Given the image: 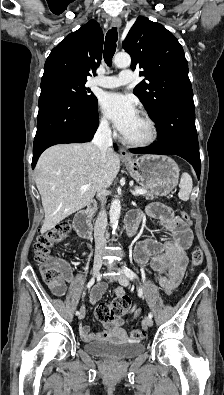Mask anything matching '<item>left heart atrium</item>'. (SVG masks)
I'll list each match as a JSON object with an SVG mask.
<instances>
[{"label": "left heart atrium", "mask_w": 224, "mask_h": 395, "mask_svg": "<svg viewBox=\"0 0 224 395\" xmlns=\"http://www.w3.org/2000/svg\"><path fill=\"white\" fill-rule=\"evenodd\" d=\"M103 113L114 126L123 134L138 116L135 101L121 93H106L100 100Z\"/></svg>", "instance_id": "39dd6f15"}]
</instances>
